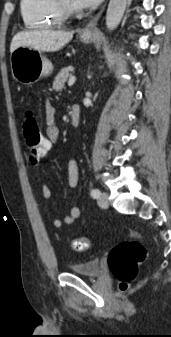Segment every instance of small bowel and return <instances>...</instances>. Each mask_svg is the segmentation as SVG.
<instances>
[{"label": "small bowel", "instance_id": "obj_1", "mask_svg": "<svg viewBox=\"0 0 171 337\" xmlns=\"http://www.w3.org/2000/svg\"><path fill=\"white\" fill-rule=\"evenodd\" d=\"M55 107L51 103H47L45 107V121H46V137L47 140L50 141V145L56 143L60 136V130L57 124L55 123ZM67 174H68V184L70 187L75 188L78 185L79 180V168L78 162L76 159H70L67 163ZM42 196L45 199L51 197L50 188L44 184L42 185ZM80 209L77 207H73L70 209L69 213L65 216L64 221L62 222L59 219H55L53 221V226L56 229H61L63 227V223L70 225L73 224L80 216Z\"/></svg>", "mask_w": 171, "mask_h": 337}]
</instances>
